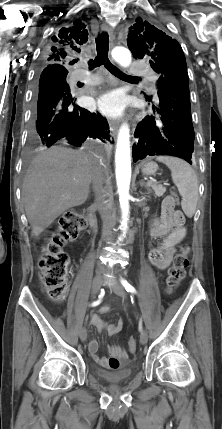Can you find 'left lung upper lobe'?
Segmentation results:
<instances>
[{"label":"left lung upper lobe","mask_w":222,"mask_h":429,"mask_svg":"<svg viewBox=\"0 0 222 429\" xmlns=\"http://www.w3.org/2000/svg\"><path fill=\"white\" fill-rule=\"evenodd\" d=\"M127 43L134 58L151 59V67L160 74L158 86L167 77H178L188 83L184 52L177 40L172 39L162 30L147 21L138 19L137 23L129 29Z\"/></svg>","instance_id":"obj_1"}]
</instances>
